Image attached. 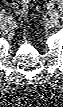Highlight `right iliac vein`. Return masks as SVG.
<instances>
[{
	"label": "right iliac vein",
	"instance_id": "1",
	"mask_svg": "<svg viewBox=\"0 0 63 107\" xmlns=\"http://www.w3.org/2000/svg\"><path fill=\"white\" fill-rule=\"evenodd\" d=\"M8 23H9L10 25H13L15 22H14L13 20H10Z\"/></svg>",
	"mask_w": 63,
	"mask_h": 107
}]
</instances>
